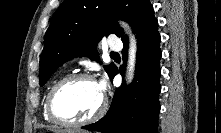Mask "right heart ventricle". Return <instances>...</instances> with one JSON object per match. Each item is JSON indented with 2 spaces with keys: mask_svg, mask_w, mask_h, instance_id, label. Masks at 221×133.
<instances>
[{
  "mask_svg": "<svg viewBox=\"0 0 221 133\" xmlns=\"http://www.w3.org/2000/svg\"><path fill=\"white\" fill-rule=\"evenodd\" d=\"M55 83H56V82H54V83L51 85L50 89L52 88V86H53ZM50 89H49V91H50ZM46 97H47V96H46ZM43 116H44V119H45L47 122H52V121L50 120L48 114H47V111H46V99H45L44 104H43Z\"/></svg>",
  "mask_w": 221,
  "mask_h": 133,
  "instance_id": "right-heart-ventricle-1",
  "label": "right heart ventricle"
}]
</instances>
